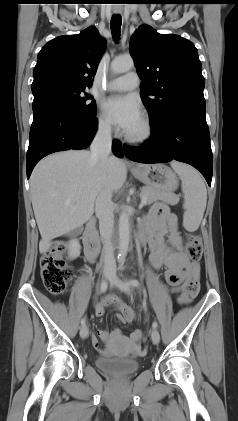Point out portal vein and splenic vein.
Returning <instances> with one entry per match:
<instances>
[{
    "mask_svg": "<svg viewBox=\"0 0 238 421\" xmlns=\"http://www.w3.org/2000/svg\"><path fill=\"white\" fill-rule=\"evenodd\" d=\"M146 203H147V199H146V196H144L141 200L140 208H142L144 205H146Z\"/></svg>",
    "mask_w": 238,
    "mask_h": 421,
    "instance_id": "obj_1",
    "label": "portal vein and splenic vein"
}]
</instances>
